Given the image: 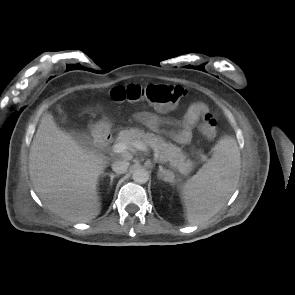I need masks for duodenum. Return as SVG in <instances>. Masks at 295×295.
<instances>
[{
    "label": "duodenum",
    "instance_id": "obj_1",
    "mask_svg": "<svg viewBox=\"0 0 295 295\" xmlns=\"http://www.w3.org/2000/svg\"><path fill=\"white\" fill-rule=\"evenodd\" d=\"M111 141V136L109 133L101 131L99 133H97L96 137H95V143L96 146L99 148H105L108 146V144Z\"/></svg>",
    "mask_w": 295,
    "mask_h": 295
}]
</instances>
